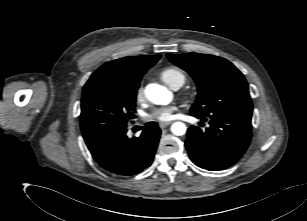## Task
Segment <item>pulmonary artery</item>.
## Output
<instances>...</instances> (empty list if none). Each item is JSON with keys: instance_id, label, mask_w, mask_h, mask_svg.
<instances>
[{"instance_id": "1", "label": "pulmonary artery", "mask_w": 307, "mask_h": 221, "mask_svg": "<svg viewBox=\"0 0 307 221\" xmlns=\"http://www.w3.org/2000/svg\"><path fill=\"white\" fill-rule=\"evenodd\" d=\"M178 88H180V87H175L174 89L177 90Z\"/></svg>"}]
</instances>
